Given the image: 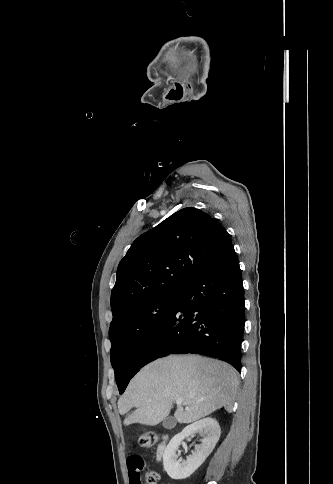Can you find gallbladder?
Instances as JSON below:
<instances>
[{"label": "gallbladder", "mask_w": 333, "mask_h": 484, "mask_svg": "<svg viewBox=\"0 0 333 484\" xmlns=\"http://www.w3.org/2000/svg\"><path fill=\"white\" fill-rule=\"evenodd\" d=\"M162 426L165 429H173L176 426V420L173 416H168L162 421Z\"/></svg>", "instance_id": "gallbladder-1"}]
</instances>
